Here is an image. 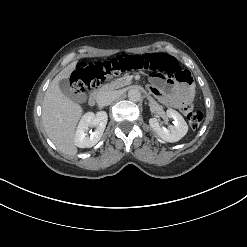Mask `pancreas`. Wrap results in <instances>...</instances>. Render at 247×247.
<instances>
[{"label": "pancreas", "instance_id": "1", "mask_svg": "<svg viewBox=\"0 0 247 247\" xmlns=\"http://www.w3.org/2000/svg\"><path fill=\"white\" fill-rule=\"evenodd\" d=\"M130 82L127 81L125 78H119V79H115L114 81H112L111 83H108L104 86H102L98 93H103L105 91H108V90H113V89H118V88H121V87H124L126 85H129Z\"/></svg>", "mask_w": 247, "mask_h": 247}]
</instances>
